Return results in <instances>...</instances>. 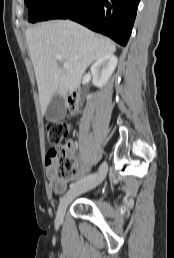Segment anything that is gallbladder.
I'll list each match as a JSON object with an SVG mask.
<instances>
[{
  "label": "gallbladder",
  "mask_w": 174,
  "mask_h": 258,
  "mask_svg": "<svg viewBox=\"0 0 174 258\" xmlns=\"http://www.w3.org/2000/svg\"><path fill=\"white\" fill-rule=\"evenodd\" d=\"M66 114L65 100L63 96L54 95L50 100L45 112L48 121H58L64 118Z\"/></svg>",
  "instance_id": "1"
}]
</instances>
